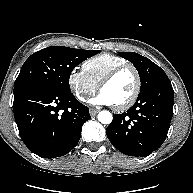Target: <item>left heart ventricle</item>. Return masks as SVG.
<instances>
[{
  "label": "left heart ventricle",
  "mask_w": 193,
  "mask_h": 193,
  "mask_svg": "<svg viewBox=\"0 0 193 193\" xmlns=\"http://www.w3.org/2000/svg\"><path fill=\"white\" fill-rule=\"evenodd\" d=\"M135 84L136 79L134 73L131 70H125L106 84L101 89V92L107 95L112 105H119L130 98L134 92Z\"/></svg>",
  "instance_id": "b2bd125f"
}]
</instances>
